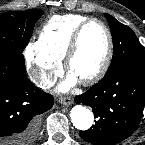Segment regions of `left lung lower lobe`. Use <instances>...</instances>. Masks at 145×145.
Returning <instances> with one entry per match:
<instances>
[{
  "label": "left lung lower lobe",
  "mask_w": 145,
  "mask_h": 145,
  "mask_svg": "<svg viewBox=\"0 0 145 145\" xmlns=\"http://www.w3.org/2000/svg\"><path fill=\"white\" fill-rule=\"evenodd\" d=\"M76 103L92 108L97 121L80 136L94 145H114L137 128L145 105V71L125 68L105 75Z\"/></svg>",
  "instance_id": "obj_1"
}]
</instances>
